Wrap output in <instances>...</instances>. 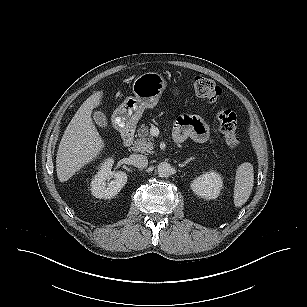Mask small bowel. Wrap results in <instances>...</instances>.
Here are the masks:
<instances>
[{
  "mask_svg": "<svg viewBox=\"0 0 307 307\" xmlns=\"http://www.w3.org/2000/svg\"><path fill=\"white\" fill-rule=\"evenodd\" d=\"M173 136L177 143H182L188 138L204 143L209 138V127L198 116H182L175 124Z\"/></svg>",
  "mask_w": 307,
  "mask_h": 307,
  "instance_id": "small-bowel-1",
  "label": "small bowel"
}]
</instances>
